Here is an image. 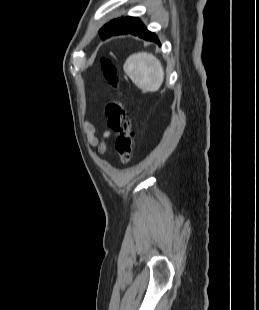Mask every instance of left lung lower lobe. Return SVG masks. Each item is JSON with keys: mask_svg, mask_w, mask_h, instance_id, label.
<instances>
[{"mask_svg": "<svg viewBox=\"0 0 259 310\" xmlns=\"http://www.w3.org/2000/svg\"><path fill=\"white\" fill-rule=\"evenodd\" d=\"M122 34H132L147 41H154L156 43L159 42L157 36H155L154 33L148 31L139 18L130 16L123 18L117 27L102 39L104 40L113 35Z\"/></svg>", "mask_w": 259, "mask_h": 310, "instance_id": "1", "label": "left lung lower lobe"}]
</instances>
